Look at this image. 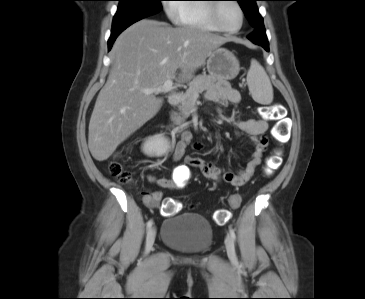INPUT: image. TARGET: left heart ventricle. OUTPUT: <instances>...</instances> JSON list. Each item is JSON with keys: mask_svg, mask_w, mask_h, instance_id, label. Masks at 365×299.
<instances>
[{"mask_svg": "<svg viewBox=\"0 0 365 299\" xmlns=\"http://www.w3.org/2000/svg\"><path fill=\"white\" fill-rule=\"evenodd\" d=\"M219 23L228 29H235L241 23V15L237 6L232 2H226L219 11Z\"/></svg>", "mask_w": 365, "mask_h": 299, "instance_id": "obj_1", "label": "left heart ventricle"}]
</instances>
